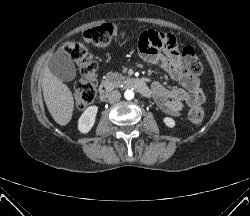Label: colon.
Here are the masks:
<instances>
[{"instance_id":"5ec220e1","label":"colon","mask_w":250,"mask_h":216,"mask_svg":"<svg viewBox=\"0 0 250 216\" xmlns=\"http://www.w3.org/2000/svg\"><path fill=\"white\" fill-rule=\"evenodd\" d=\"M124 32L112 24H104L85 31L82 35L83 40L95 47L104 48L114 42L124 39ZM62 52L73 60L80 68L82 79L77 83L74 97L76 106L85 109L96 97L95 73L97 63L87 48L80 42H68ZM181 68L192 76L202 72V64L191 47H185L179 57ZM204 119V109L201 104L193 106L188 112V120L193 125H199Z\"/></svg>"}]
</instances>
